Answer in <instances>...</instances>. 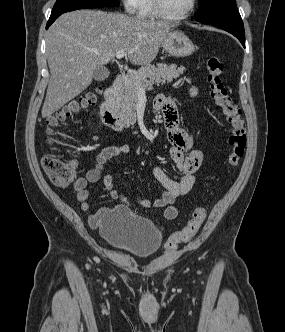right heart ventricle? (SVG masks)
<instances>
[{
    "label": "right heart ventricle",
    "mask_w": 285,
    "mask_h": 332,
    "mask_svg": "<svg viewBox=\"0 0 285 332\" xmlns=\"http://www.w3.org/2000/svg\"><path fill=\"white\" fill-rule=\"evenodd\" d=\"M136 15L140 19H155L157 18L152 0H138Z\"/></svg>",
    "instance_id": "e07e8e85"
}]
</instances>
